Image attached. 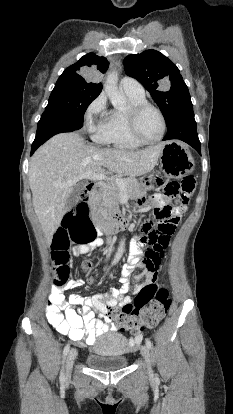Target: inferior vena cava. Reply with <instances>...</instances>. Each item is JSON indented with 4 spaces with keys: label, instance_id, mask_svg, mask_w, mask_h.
I'll return each instance as SVG.
<instances>
[{
    "label": "inferior vena cava",
    "instance_id": "obj_1",
    "mask_svg": "<svg viewBox=\"0 0 233 414\" xmlns=\"http://www.w3.org/2000/svg\"><path fill=\"white\" fill-rule=\"evenodd\" d=\"M107 237H109V236H113L112 234L111 235H109V234H107L106 235ZM112 247V239L110 238L109 240H107V248H108V252H106V257H111V250H110V248Z\"/></svg>",
    "mask_w": 233,
    "mask_h": 414
}]
</instances>
